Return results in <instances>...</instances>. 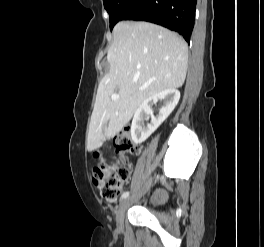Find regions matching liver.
Segmentation results:
<instances>
[{
	"label": "liver",
	"mask_w": 264,
	"mask_h": 247,
	"mask_svg": "<svg viewBox=\"0 0 264 247\" xmlns=\"http://www.w3.org/2000/svg\"><path fill=\"white\" fill-rule=\"evenodd\" d=\"M107 61L110 70L99 84L89 125V152L121 131L146 99L184 84L188 46L161 26L121 21L113 29ZM114 94L117 100L111 99Z\"/></svg>",
	"instance_id": "6515ba94"
}]
</instances>
